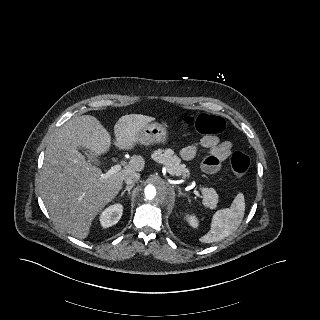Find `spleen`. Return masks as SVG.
Returning <instances> with one entry per match:
<instances>
[{"label": "spleen", "mask_w": 320, "mask_h": 320, "mask_svg": "<svg viewBox=\"0 0 320 320\" xmlns=\"http://www.w3.org/2000/svg\"><path fill=\"white\" fill-rule=\"evenodd\" d=\"M244 214V195L242 193H238L230 208L220 209L214 213L210 230L207 234L200 237V242L213 243L225 239L240 226Z\"/></svg>", "instance_id": "3e777b00"}]
</instances>
